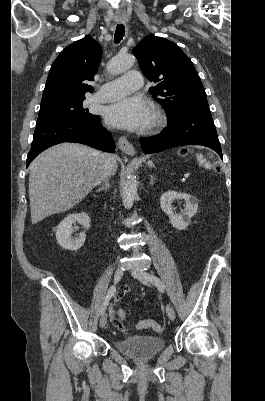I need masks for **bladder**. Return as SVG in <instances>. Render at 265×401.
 Returning a JSON list of instances; mask_svg holds the SVG:
<instances>
[{
	"label": "bladder",
	"instance_id": "bladder-1",
	"mask_svg": "<svg viewBox=\"0 0 265 401\" xmlns=\"http://www.w3.org/2000/svg\"><path fill=\"white\" fill-rule=\"evenodd\" d=\"M117 350L130 357L148 358L157 355L164 349L165 339L154 336H133L113 341Z\"/></svg>",
	"mask_w": 265,
	"mask_h": 401
}]
</instances>
